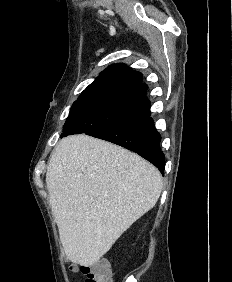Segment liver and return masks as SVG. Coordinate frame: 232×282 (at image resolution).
<instances>
[{
	"instance_id": "obj_1",
	"label": "liver",
	"mask_w": 232,
	"mask_h": 282,
	"mask_svg": "<svg viewBox=\"0 0 232 282\" xmlns=\"http://www.w3.org/2000/svg\"><path fill=\"white\" fill-rule=\"evenodd\" d=\"M46 187L67 258L90 266L155 206L162 176L137 154L81 134L54 148Z\"/></svg>"
}]
</instances>
